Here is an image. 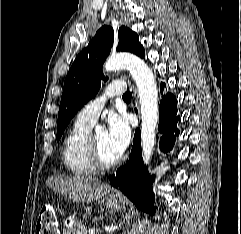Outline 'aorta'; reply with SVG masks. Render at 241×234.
Instances as JSON below:
<instances>
[{
	"label": "aorta",
	"instance_id": "aorta-1",
	"mask_svg": "<svg viewBox=\"0 0 241 234\" xmlns=\"http://www.w3.org/2000/svg\"><path fill=\"white\" fill-rule=\"evenodd\" d=\"M106 72L119 69L130 71L139 91L141 113V147L144 164H149L156 142L158 124V91L155 77L148 65L139 57L121 53L111 56L105 63Z\"/></svg>",
	"mask_w": 241,
	"mask_h": 234
}]
</instances>
